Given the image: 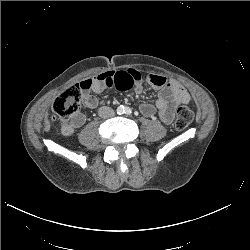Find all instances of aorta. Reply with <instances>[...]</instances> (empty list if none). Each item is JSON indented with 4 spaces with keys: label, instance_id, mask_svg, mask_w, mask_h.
I'll return each mask as SVG.
<instances>
[{
    "label": "aorta",
    "instance_id": "1",
    "mask_svg": "<svg viewBox=\"0 0 250 250\" xmlns=\"http://www.w3.org/2000/svg\"><path fill=\"white\" fill-rule=\"evenodd\" d=\"M118 113H124L125 109L123 106L118 107L117 109Z\"/></svg>",
    "mask_w": 250,
    "mask_h": 250
}]
</instances>
